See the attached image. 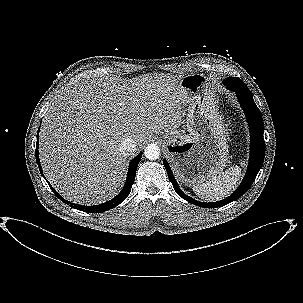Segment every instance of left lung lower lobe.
Listing matches in <instances>:
<instances>
[{"label":"left lung lower lobe","mask_w":303,"mask_h":303,"mask_svg":"<svg viewBox=\"0 0 303 303\" xmlns=\"http://www.w3.org/2000/svg\"><path fill=\"white\" fill-rule=\"evenodd\" d=\"M223 84L226 86V88L236 93L237 98L246 115L247 122L249 125V130H250L251 139H250L249 165L245 177L242 180L240 186L237 188V190L226 199H223L218 202L205 203V202H199L197 200H194L180 190L173 176L170 166L168 165L166 160H163V164L168 173V178L173 184V188L175 192L189 203L204 208H217V207L225 206L237 200L245 192H247V190L254 182L259 170L263 165L264 155H265V142L263 138V132H264L263 119L260 110L258 109L257 105L253 100L252 93L247 90V88L244 86L243 81L239 78L230 77L224 80Z\"/></svg>","instance_id":"obj_1"}]
</instances>
